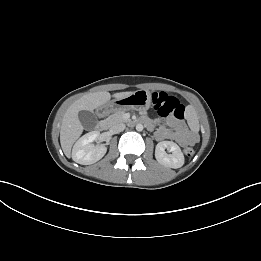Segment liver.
<instances>
[{
	"instance_id": "liver-1",
	"label": "liver",
	"mask_w": 261,
	"mask_h": 261,
	"mask_svg": "<svg viewBox=\"0 0 261 261\" xmlns=\"http://www.w3.org/2000/svg\"><path fill=\"white\" fill-rule=\"evenodd\" d=\"M133 92H119L113 94L114 98H122ZM111 95L107 91L88 93L69 106L65 112L60 129V143L64 154L67 157L71 155V148L74 142L83 132V126L78 118L81 110L93 111L99 106L110 101Z\"/></svg>"
}]
</instances>
